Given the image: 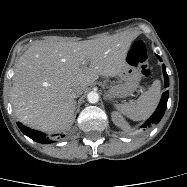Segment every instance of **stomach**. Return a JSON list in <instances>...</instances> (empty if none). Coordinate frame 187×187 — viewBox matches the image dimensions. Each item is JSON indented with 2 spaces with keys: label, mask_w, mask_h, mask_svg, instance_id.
<instances>
[{
  "label": "stomach",
  "mask_w": 187,
  "mask_h": 187,
  "mask_svg": "<svg viewBox=\"0 0 187 187\" xmlns=\"http://www.w3.org/2000/svg\"><path fill=\"white\" fill-rule=\"evenodd\" d=\"M119 82L112 85L107 93V98H125L137 90L141 80L139 67L127 63L118 74Z\"/></svg>",
  "instance_id": "stomach-1"
}]
</instances>
